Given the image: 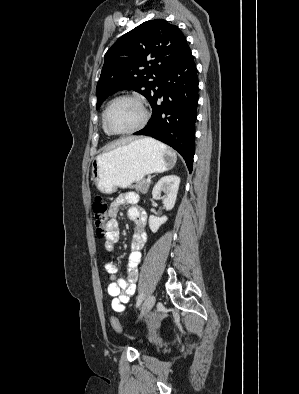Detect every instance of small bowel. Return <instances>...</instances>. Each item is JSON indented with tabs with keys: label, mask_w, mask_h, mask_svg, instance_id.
Returning <instances> with one entry per match:
<instances>
[{
	"label": "small bowel",
	"mask_w": 299,
	"mask_h": 394,
	"mask_svg": "<svg viewBox=\"0 0 299 394\" xmlns=\"http://www.w3.org/2000/svg\"><path fill=\"white\" fill-rule=\"evenodd\" d=\"M139 197L135 192H126L114 199L109 209V220L106 224L105 250L113 253L115 244L120 237L119 225L116 219L122 206L128 204L127 217L135 224L133 237L131 240V251L128 255L126 276L116 279L118 267L114 262H107L104 266L109 275L110 283L107 287L108 294L113 298L112 307L117 312H123L125 304L131 296L135 294V282L138 278V265L142 253L141 250L147 240L146 224L147 215L145 210L138 205Z\"/></svg>",
	"instance_id": "1"
}]
</instances>
